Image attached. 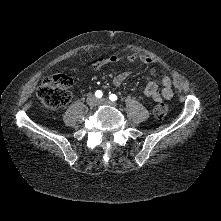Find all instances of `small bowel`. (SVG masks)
I'll use <instances>...</instances> for the list:
<instances>
[{
  "mask_svg": "<svg viewBox=\"0 0 221 221\" xmlns=\"http://www.w3.org/2000/svg\"><path fill=\"white\" fill-rule=\"evenodd\" d=\"M121 59L122 57L117 56V55L98 57L91 61V67L97 70L106 64L116 63L120 61ZM124 59L128 62L139 61L151 67L152 78L142 92L145 98L152 99L155 102H161L162 100H169L172 98L173 90H172L171 77L169 75L162 76L160 80L162 84V88L159 89L158 72H157L156 67L154 66V61L150 57L146 55H142V54H129L125 56ZM130 75H131V71H123L117 74L113 78V84L115 86H120Z\"/></svg>",
  "mask_w": 221,
  "mask_h": 221,
  "instance_id": "1",
  "label": "small bowel"
}]
</instances>
